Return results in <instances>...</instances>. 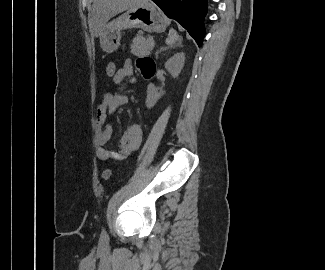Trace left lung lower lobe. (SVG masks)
<instances>
[{"label":"left lung lower lobe","instance_id":"0a47b994","mask_svg":"<svg viewBox=\"0 0 325 270\" xmlns=\"http://www.w3.org/2000/svg\"><path fill=\"white\" fill-rule=\"evenodd\" d=\"M167 17L176 20L201 46L204 35V15L208 12L207 0H152Z\"/></svg>","mask_w":325,"mask_h":270}]
</instances>
